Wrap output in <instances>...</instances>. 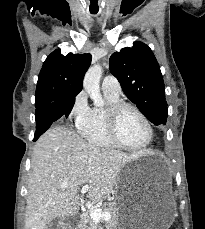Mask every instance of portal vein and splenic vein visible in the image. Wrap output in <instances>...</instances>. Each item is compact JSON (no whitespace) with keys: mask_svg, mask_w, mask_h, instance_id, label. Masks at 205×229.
Listing matches in <instances>:
<instances>
[{"mask_svg":"<svg viewBox=\"0 0 205 229\" xmlns=\"http://www.w3.org/2000/svg\"><path fill=\"white\" fill-rule=\"evenodd\" d=\"M89 186L86 184L82 186L81 193L84 194L88 192ZM86 207L90 211V217L94 222H99L100 220L109 221L111 219V214L109 212H103L100 208H97L92 205V203L87 202Z\"/></svg>","mask_w":205,"mask_h":229,"instance_id":"18ae733b","label":"portal vein and splenic vein"}]
</instances>
